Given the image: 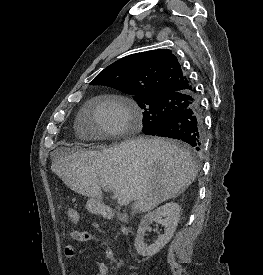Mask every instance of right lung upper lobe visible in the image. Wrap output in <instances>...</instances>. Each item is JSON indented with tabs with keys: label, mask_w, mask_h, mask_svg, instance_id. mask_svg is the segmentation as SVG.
<instances>
[{
	"label": "right lung upper lobe",
	"mask_w": 263,
	"mask_h": 275,
	"mask_svg": "<svg viewBox=\"0 0 263 275\" xmlns=\"http://www.w3.org/2000/svg\"><path fill=\"white\" fill-rule=\"evenodd\" d=\"M91 84L111 86L135 96L195 95L177 57L168 49L123 57L100 72Z\"/></svg>",
	"instance_id": "right-lung-upper-lobe-1"
}]
</instances>
